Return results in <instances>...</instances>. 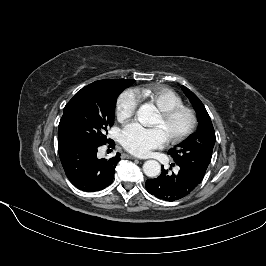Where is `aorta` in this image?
Returning a JSON list of instances; mask_svg holds the SVG:
<instances>
[{"instance_id": "762f6f07", "label": "aorta", "mask_w": 266, "mask_h": 266, "mask_svg": "<svg viewBox=\"0 0 266 266\" xmlns=\"http://www.w3.org/2000/svg\"><path fill=\"white\" fill-rule=\"evenodd\" d=\"M154 116V109L149 104L142 105L137 111L138 121L144 126L153 124ZM143 171L148 177H157L161 172V166L155 160H148L143 164Z\"/></svg>"}]
</instances>
